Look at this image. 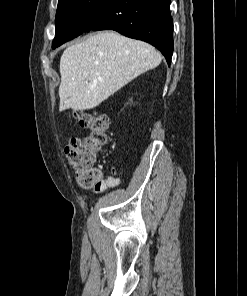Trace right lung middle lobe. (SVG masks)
<instances>
[{
	"instance_id": "obj_1",
	"label": "right lung middle lobe",
	"mask_w": 247,
	"mask_h": 296,
	"mask_svg": "<svg viewBox=\"0 0 247 296\" xmlns=\"http://www.w3.org/2000/svg\"><path fill=\"white\" fill-rule=\"evenodd\" d=\"M107 0H58L56 34L52 48L83 33L93 11Z\"/></svg>"
}]
</instances>
